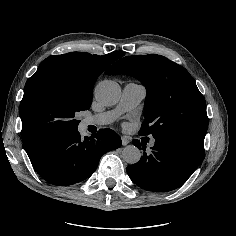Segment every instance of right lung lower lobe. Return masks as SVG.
<instances>
[{"mask_svg": "<svg viewBox=\"0 0 236 236\" xmlns=\"http://www.w3.org/2000/svg\"><path fill=\"white\" fill-rule=\"evenodd\" d=\"M121 144V138L111 129H100L84 139L76 130L54 138L39 148L30 160L47 182L67 186L90 177L101 156Z\"/></svg>", "mask_w": 236, "mask_h": 236, "instance_id": "1", "label": "right lung lower lobe"}]
</instances>
